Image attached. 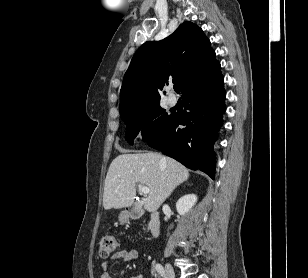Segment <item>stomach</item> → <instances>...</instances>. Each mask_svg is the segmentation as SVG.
<instances>
[{
    "label": "stomach",
    "instance_id": "stomach-1",
    "mask_svg": "<svg viewBox=\"0 0 308 278\" xmlns=\"http://www.w3.org/2000/svg\"><path fill=\"white\" fill-rule=\"evenodd\" d=\"M121 221H124L126 219V215L125 214H122L119 218Z\"/></svg>",
    "mask_w": 308,
    "mask_h": 278
}]
</instances>
